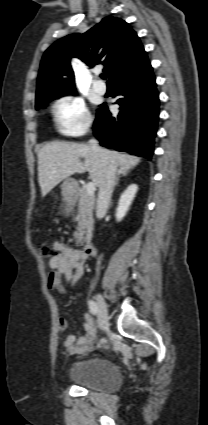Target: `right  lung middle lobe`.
Listing matches in <instances>:
<instances>
[{
	"instance_id": "1",
	"label": "right lung middle lobe",
	"mask_w": 208,
	"mask_h": 425,
	"mask_svg": "<svg viewBox=\"0 0 208 425\" xmlns=\"http://www.w3.org/2000/svg\"><path fill=\"white\" fill-rule=\"evenodd\" d=\"M73 92L52 93V94L46 95L43 98H41V100L38 103H36V109L37 110L40 109L41 107H43L44 105H46L48 102H50V101H52V100H54V99H56V98H58L60 96H63L64 94H71Z\"/></svg>"
}]
</instances>
